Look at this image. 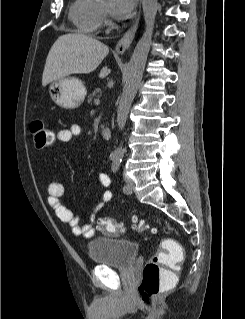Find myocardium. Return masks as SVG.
Here are the masks:
<instances>
[{
	"label": "myocardium",
	"mask_w": 245,
	"mask_h": 319,
	"mask_svg": "<svg viewBox=\"0 0 245 319\" xmlns=\"http://www.w3.org/2000/svg\"><path fill=\"white\" fill-rule=\"evenodd\" d=\"M104 10L107 11V12H109V8H107V7H104Z\"/></svg>",
	"instance_id": "1"
}]
</instances>
